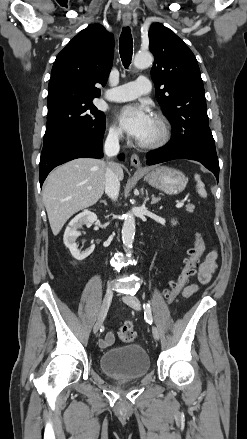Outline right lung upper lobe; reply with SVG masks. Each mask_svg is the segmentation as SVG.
Returning a JSON list of instances; mask_svg holds the SVG:
<instances>
[{"label":"right lung upper lobe","mask_w":247,"mask_h":439,"mask_svg":"<svg viewBox=\"0 0 247 439\" xmlns=\"http://www.w3.org/2000/svg\"><path fill=\"white\" fill-rule=\"evenodd\" d=\"M114 54L113 35L99 24L80 31L58 54L48 85V109L67 100H93L107 82Z\"/></svg>","instance_id":"right-lung-upper-lobe-1"}]
</instances>
